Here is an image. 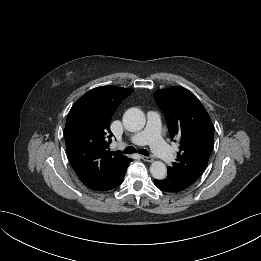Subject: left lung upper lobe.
Here are the masks:
<instances>
[{
  "mask_svg": "<svg viewBox=\"0 0 261 261\" xmlns=\"http://www.w3.org/2000/svg\"><path fill=\"white\" fill-rule=\"evenodd\" d=\"M163 111L171 137L180 146L176 162L167 170L194 183L205 170L214 143V127L209 114L189 90L174 86L154 92Z\"/></svg>",
  "mask_w": 261,
  "mask_h": 261,
  "instance_id": "1",
  "label": "left lung upper lobe"
}]
</instances>
